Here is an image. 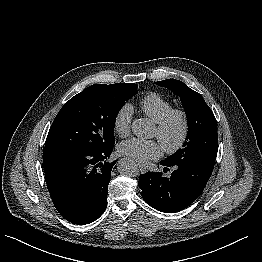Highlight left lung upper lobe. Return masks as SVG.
Segmentation results:
<instances>
[{"instance_id": "left-lung-upper-lobe-1", "label": "left lung upper lobe", "mask_w": 262, "mask_h": 262, "mask_svg": "<svg viewBox=\"0 0 262 262\" xmlns=\"http://www.w3.org/2000/svg\"><path fill=\"white\" fill-rule=\"evenodd\" d=\"M155 83L180 97L188 122V134L183 148L165 160L170 163L192 160L215 162L218 150L217 124L203 97L176 79Z\"/></svg>"}]
</instances>
